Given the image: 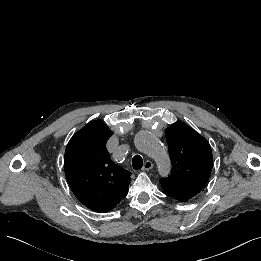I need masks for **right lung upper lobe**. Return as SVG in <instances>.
<instances>
[{
    "mask_svg": "<svg viewBox=\"0 0 261 261\" xmlns=\"http://www.w3.org/2000/svg\"><path fill=\"white\" fill-rule=\"evenodd\" d=\"M113 132L100 120L88 123L70 139L64 158L68 183L87 208L106 213L127 195L131 173L109 157L106 142Z\"/></svg>",
    "mask_w": 261,
    "mask_h": 261,
    "instance_id": "right-lung-upper-lobe-1",
    "label": "right lung upper lobe"
}]
</instances>
